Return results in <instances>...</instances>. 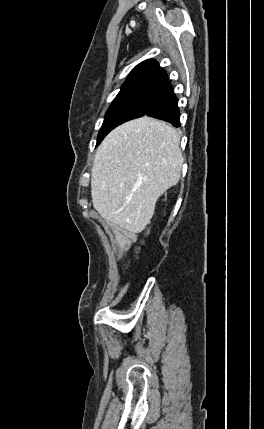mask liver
Segmentation results:
<instances>
[{
	"instance_id": "1",
	"label": "liver",
	"mask_w": 264,
	"mask_h": 429,
	"mask_svg": "<svg viewBox=\"0 0 264 429\" xmlns=\"http://www.w3.org/2000/svg\"><path fill=\"white\" fill-rule=\"evenodd\" d=\"M180 135L147 116L112 130L97 149L91 174L93 207L132 234L150 222L157 200L181 178Z\"/></svg>"
}]
</instances>
